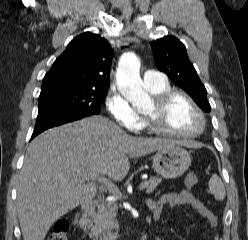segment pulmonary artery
Instances as JSON below:
<instances>
[{
  "instance_id": "e3ab8cb5",
  "label": "pulmonary artery",
  "mask_w": 248,
  "mask_h": 240,
  "mask_svg": "<svg viewBox=\"0 0 248 240\" xmlns=\"http://www.w3.org/2000/svg\"><path fill=\"white\" fill-rule=\"evenodd\" d=\"M142 79L146 86L160 85L167 82L162 72L149 69L143 72Z\"/></svg>"
}]
</instances>
